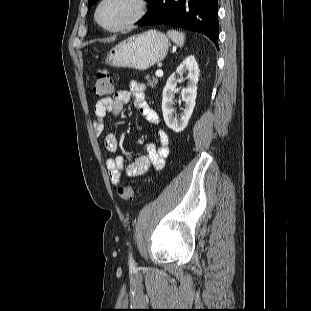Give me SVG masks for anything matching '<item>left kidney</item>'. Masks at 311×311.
Listing matches in <instances>:
<instances>
[{
  "label": "left kidney",
  "mask_w": 311,
  "mask_h": 311,
  "mask_svg": "<svg viewBox=\"0 0 311 311\" xmlns=\"http://www.w3.org/2000/svg\"><path fill=\"white\" fill-rule=\"evenodd\" d=\"M184 73H188L187 87L183 88L181 96L185 102L183 112L180 114V118H177L173 114L174 108V94L176 86L179 81V77H182ZM199 69L198 64L194 56L190 55L186 57L183 62L177 67L176 72L173 73L167 80L166 85L163 89L162 99V111L163 118L166 125L174 132L183 131L192 115L195 107V100L197 96V83H198Z\"/></svg>",
  "instance_id": "obj_1"
}]
</instances>
